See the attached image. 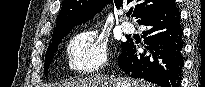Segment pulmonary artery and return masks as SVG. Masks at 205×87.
Wrapping results in <instances>:
<instances>
[{"label": "pulmonary artery", "mask_w": 205, "mask_h": 87, "mask_svg": "<svg viewBox=\"0 0 205 87\" xmlns=\"http://www.w3.org/2000/svg\"><path fill=\"white\" fill-rule=\"evenodd\" d=\"M121 29L125 33H132L134 32V26L130 22H122L120 25Z\"/></svg>", "instance_id": "1"}]
</instances>
